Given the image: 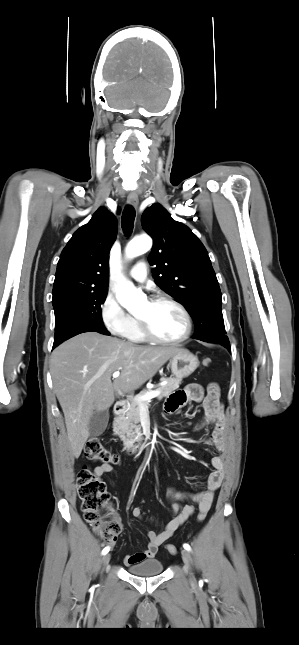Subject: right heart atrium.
<instances>
[{
	"label": "right heart atrium",
	"mask_w": 299,
	"mask_h": 645,
	"mask_svg": "<svg viewBox=\"0 0 299 645\" xmlns=\"http://www.w3.org/2000/svg\"><path fill=\"white\" fill-rule=\"evenodd\" d=\"M100 317L105 329L115 336H124L132 323V317L110 293L105 296L101 304Z\"/></svg>",
	"instance_id": "d8ad5b80"
}]
</instances>
